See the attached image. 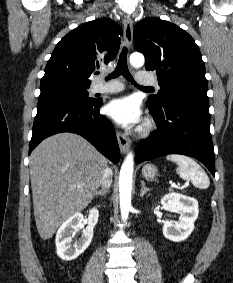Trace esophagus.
Wrapping results in <instances>:
<instances>
[{"label": "esophagus", "mask_w": 233, "mask_h": 283, "mask_svg": "<svg viewBox=\"0 0 233 283\" xmlns=\"http://www.w3.org/2000/svg\"><path fill=\"white\" fill-rule=\"evenodd\" d=\"M124 44L130 49L133 41V22L130 16H126L124 19ZM117 140L122 153H126L131 145V141L128 137L117 131Z\"/></svg>", "instance_id": "obj_1"}]
</instances>
